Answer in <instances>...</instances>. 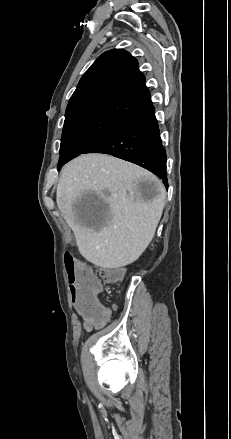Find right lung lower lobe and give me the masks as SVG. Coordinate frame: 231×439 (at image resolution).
<instances>
[{
  "instance_id": "right-lung-lower-lobe-1",
  "label": "right lung lower lobe",
  "mask_w": 231,
  "mask_h": 439,
  "mask_svg": "<svg viewBox=\"0 0 231 439\" xmlns=\"http://www.w3.org/2000/svg\"><path fill=\"white\" fill-rule=\"evenodd\" d=\"M86 153H105L135 163L163 180L167 187L166 152L152 102L123 118Z\"/></svg>"
}]
</instances>
